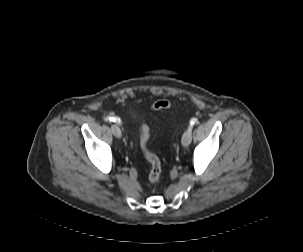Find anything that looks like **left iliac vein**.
Returning <instances> with one entry per match:
<instances>
[{"mask_svg": "<svg viewBox=\"0 0 303 252\" xmlns=\"http://www.w3.org/2000/svg\"><path fill=\"white\" fill-rule=\"evenodd\" d=\"M191 140H192V130L187 129L182 136L181 143L184 147H187L191 143Z\"/></svg>", "mask_w": 303, "mask_h": 252, "instance_id": "left-iliac-vein-1", "label": "left iliac vein"}]
</instances>
